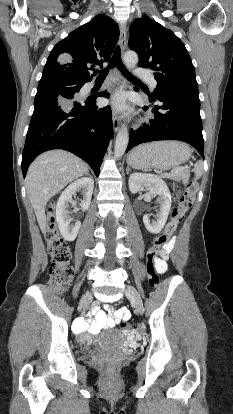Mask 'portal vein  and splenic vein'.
<instances>
[{
  "mask_svg": "<svg viewBox=\"0 0 233 414\" xmlns=\"http://www.w3.org/2000/svg\"><path fill=\"white\" fill-rule=\"evenodd\" d=\"M183 170H184V167H179V168L175 169V173L182 172ZM171 175L172 174H168V173L163 174L164 177H170Z\"/></svg>",
  "mask_w": 233,
  "mask_h": 414,
  "instance_id": "portal-vein-and-splenic-vein-1",
  "label": "portal vein and splenic vein"
}]
</instances>
